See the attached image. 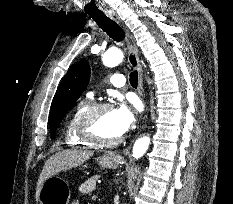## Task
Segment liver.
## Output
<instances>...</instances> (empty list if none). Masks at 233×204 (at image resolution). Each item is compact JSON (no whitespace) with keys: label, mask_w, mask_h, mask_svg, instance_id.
Listing matches in <instances>:
<instances>
[{"label":"liver","mask_w":233,"mask_h":204,"mask_svg":"<svg viewBox=\"0 0 233 204\" xmlns=\"http://www.w3.org/2000/svg\"><path fill=\"white\" fill-rule=\"evenodd\" d=\"M92 156V151L82 149L63 150L51 156L45 162L43 170L39 176L36 187V201H38L39 192L46 179L53 177L61 171H67L76 168L82 165Z\"/></svg>","instance_id":"6515ba94"}]
</instances>
